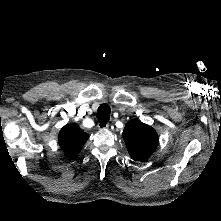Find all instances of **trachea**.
Listing matches in <instances>:
<instances>
[{"label":"trachea","instance_id":"trachea-1","mask_svg":"<svg viewBox=\"0 0 221 221\" xmlns=\"http://www.w3.org/2000/svg\"><path fill=\"white\" fill-rule=\"evenodd\" d=\"M110 107L107 104H102L97 110L96 117L101 122H107L110 120Z\"/></svg>","mask_w":221,"mask_h":221}]
</instances>
